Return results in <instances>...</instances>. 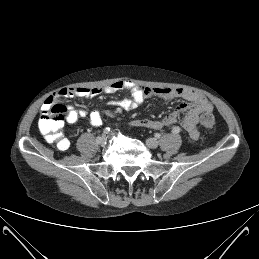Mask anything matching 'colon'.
I'll return each instance as SVG.
<instances>
[{
  "instance_id": "colon-1",
  "label": "colon",
  "mask_w": 259,
  "mask_h": 259,
  "mask_svg": "<svg viewBox=\"0 0 259 259\" xmlns=\"http://www.w3.org/2000/svg\"><path fill=\"white\" fill-rule=\"evenodd\" d=\"M67 108L59 103L51 102L48 107L42 109L38 128L48 142H53L59 149H67L69 146L63 127ZM215 118L211 113H205L200 117V124L206 129L214 126Z\"/></svg>"
}]
</instances>
